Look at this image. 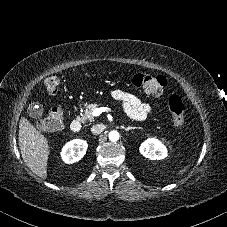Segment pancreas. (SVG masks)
<instances>
[{
  "label": "pancreas",
  "mask_w": 227,
  "mask_h": 227,
  "mask_svg": "<svg viewBox=\"0 0 227 227\" xmlns=\"http://www.w3.org/2000/svg\"><path fill=\"white\" fill-rule=\"evenodd\" d=\"M99 106V104H89L85 111H84V114L82 115L81 117V120L83 122L85 121H94V116L92 115V112L94 109H96L97 107Z\"/></svg>",
  "instance_id": "pancreas-1"
}]
</instances>
